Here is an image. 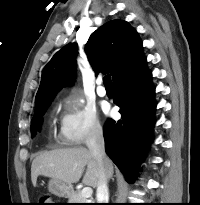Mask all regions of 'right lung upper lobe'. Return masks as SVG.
I'll return each mask as SVG.
<instances>
[{
	"label": "right lung upper lobe",
	"instance_id": "cb5924a9",
	"mask_svg": "<svg viewBox=\"0 0 200 205\" xmlns=\"http://www.w3.org/2000/svg\"><path fill=\"white\" fill-rule=\"evenodd\" d=\"M77 49L76 44L65 46L45 66L36 95V108L41 102L53 99L63 85L74 81ZM85 52L96 75L111 73L113 83L146 59L138 33L123 20L109 21L96 30L85 45Z\"/></svg>",
	"mask_w": 200,
	"mask_h": 205
}]
</instances>
